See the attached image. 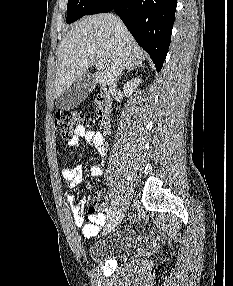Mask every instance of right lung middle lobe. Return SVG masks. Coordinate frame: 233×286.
<instances>
[{"instance_id":"right-lung-middle-lobe-1","label":"right lung middle lobe","mask_w":233,"mask_h":286,"mask_svg":"<svg viewBox=\"0 0 233 286\" xmlns=\"http://www.w3.org/2000/svg\"><path fill=\"white\" fill-rule=\"evenodd\" d=\"M100 0H68L67 23L75 22L87 15Z\"/></svg>"}]
</instances>
